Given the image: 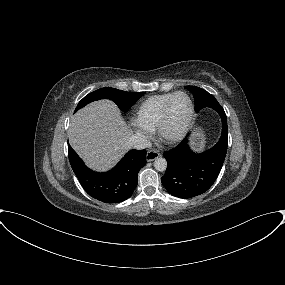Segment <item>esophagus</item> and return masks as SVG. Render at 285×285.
<instances>
[{
	"label": "esophagus",
	"mask_w": 285,
	"mask_h": 285,
	"mask_svg": "<svg viewBox=\"0 0 285 285\" xmlns=\"http://www.w3.org/2000/svg\"><path fill=\"white\" fill-rule=\"evenodd\" d=\"M160 153L157 150H149L146 154V160L148 162L154 161L159 157Z\"/></svg>",
	"instance_id": "esophagus-1"
}]
</instances>
